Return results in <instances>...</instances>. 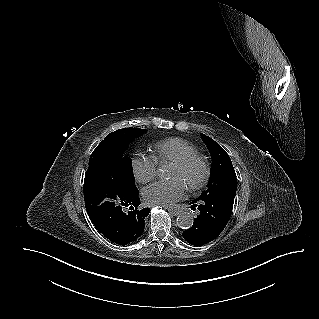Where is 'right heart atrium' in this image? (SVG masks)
Returning <instances> with one entry per match:
<instances>
[{
  "mask_svg": "<svg viewBox=\"0 0 319 319\" xmlns=\"http://www.w3.org/2000/svg\"><path fill=\"white\" fill-rule=\"evenodd\" d=\"M131 169L135 180L147 183L157 174V161L152 155L135 154L131 160Z\"/></svg>",
  "mask_w": 319,
  "mask_h": 319,
  "instance_id": "d8ad5b80",
  "label": "right heart atrium"
}]
</instances>
